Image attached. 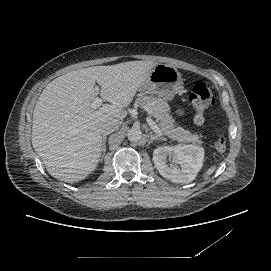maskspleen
<instances>
[{"label": "spleen", "instance_id": "obj_1", "mask_svg": "<svg viewBox=\"0 0 271 271\" xmlns=\"http://www.w3.org/2000/svg\"><path fill=\"white\" fill-rule=\"evenodd\" d=\"M217 164H212L208 169L203 173V179H209V177L216 171Z\"/></svg>", "mask_w": 271, "mask_h": 271}]
</instances>
